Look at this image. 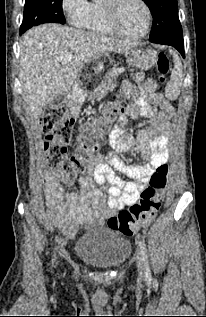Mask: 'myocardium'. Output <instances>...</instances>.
<instances>
[{
    "mask_svg": "<svg viewBox=\"0 0 206 317\" xmlns=\"http://www.w3.org/2000/svg\"><path fill=\"white\" fill-rule=\"evenodd\" d=\"M137 1L142 5V7L144 8L146 12V25L142 32L138 34L130 35L122 31L117 23L118 7L120 3L123 2V0H104L103 6H104L107 24L114 34L126 39L135 40V39L143 38L149 33L151 25H152V18H153L151 8L149 7V5L147 4L145 0H137Z\"/></svg>",
    "mask_w": 206,
    "mask_h": 317,
    "instance_id": "f54148a6",
    "label": "myocardium"
}]
</instances>
